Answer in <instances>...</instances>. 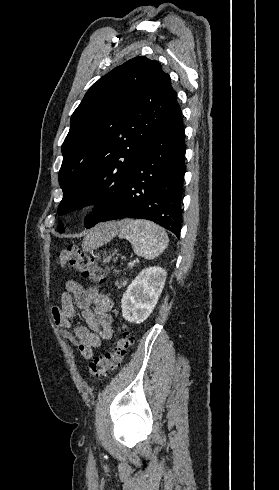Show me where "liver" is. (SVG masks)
I'll list each match as a JSON object with an SVG mask.
<instances>
[{
  "label": "liver",
  "mask_w": 279,
  "mask_h": 490,
  "mask_svg": "<svg viewBox=\"0 0 279 490\" xmlns=\"http://www.w3.org/2000/svg\"><path fill=\"white\" fill-rule=\"evenodd\" d=\"M119 228L120 222H108V224H100V226H96L94 230H90V234L86 236L83 244L84 252L94 250L98 244V240H101L104 234H106V236H111V238L116 236Z\"/></svg>",
  "instance_id": "6515ba94"
}]
</instances>
